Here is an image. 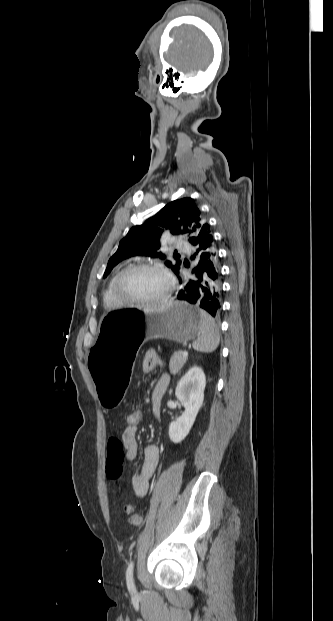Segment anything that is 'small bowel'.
<instances>
[{"mask_svg": "<svg viewBox=\"0 0 333 621\" xmlns=\"http://www.w3.org/2000/svg\"><path fill=\"white\" fill-rule=\"evenodd\" d=\"M162 361L154 351H148L142 361V369L145 373L154 371ZM169 385V376L162 375L154 385L152 402L154 411H158L159 404ZM137 426L127 425L121 439L112 438L107 446L106 474L109 479L117 480L123 470L125 459L133 461L138 454V442L136 439ZM159 463V450L153 445H147L144 449V457L138 473H134L130 479L133 493L138 497L147 494L149 480L153 476Z\"/></svg>", "mask_w": 333, "mask_h": 621, "instance_id": "small-bowel-1", "label": "small bowel"}]
</instances>
